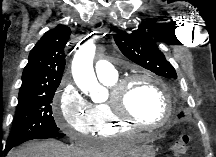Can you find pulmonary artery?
<instances>
[{
	"label": "pulmonary artery",
	"instance_id": "pulmonary-artery-1",
	"mask_svg": "<svg viewBox=\"0 0 216 157\" xmlns=\"http://www.w3.org/2000/svg\"><path fill=\"white\" fill-rule=\"evenodd\" d=\"M95 72L97 77L102 80L111 79L117 76V70L114 65L107 60H99L95 64Z\"/></svg>",
	"mask_w": 216,
	"mask_h": 157
}]
</instances>
